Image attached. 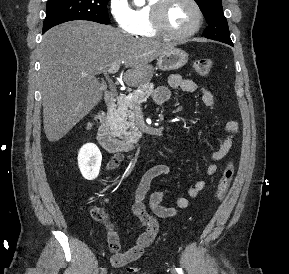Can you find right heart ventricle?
<instances>
[{
    "instance_id": "1",
    "label": "right heart ventricle",
    "mask_w": 289,
    "mask_h": 274,
    "mask_svg": "<svg viewBox=\"0 0 289 274\" xmlns=\"http://www.w3.org/2000/svg\"><path fill=\"white\" fill-rule=\"evenodd\" d=\"M157 0H147V4L133 10L134 29L132 34L139 37L152 38L156 37L158 33L154 30L151 20L152 6Z\"/></svg>"
}]
</instances>
